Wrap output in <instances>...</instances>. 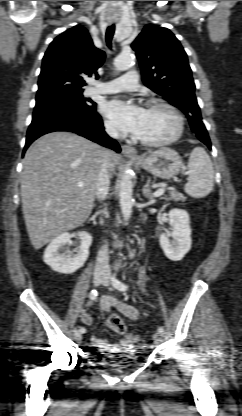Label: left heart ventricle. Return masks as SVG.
Returning a JSON list of instances; mask_svg holds the SVG:
<instances>
[{
    "label": "left heart ventricle",
    "instance_id": "b2bd125f",
    "mask_svg": "<svg viewBox=\"0 0 242 416\" xmlns=\"http://www.w3.org/2000/svg\"><path fill=\"white\" fill-rule=\"evenodd\" d=\"M175 127V118L167 109L146 108L135 135L147 141H159L171 136Z\"/></svg>",
    "mask_w": 242,
    "mask_h": 416
}]
</instances>
